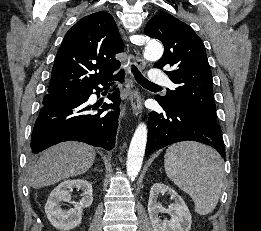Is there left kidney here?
Returning <instances> with one entry per match:
<instances>
[{"mask_svg": "<svg viewBox=\"0 0 261 231\" xmlns=\"http://www.w3.org/2000/svg\"><path fill=\"white\" fill-rule=\"evenodd\" d=\"M165 193L170 194L174 201L167 209L157 200L159 194ZM162 212L170 214L171 219L161 220L159 214ZM148 213L153 231H190L192 220L187 205L175 190L163 183H155L151 187Z\"/></svg>", "mask_w": 261, "mask_h": 231, "instance_id": "1", "label": "left kidney"}]
</instances>
